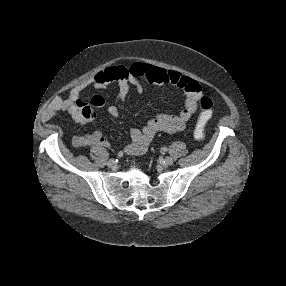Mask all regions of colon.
Returning <instances> with one entry per match:
<instances>
[{
    "label": "colon",
    "mask_w": 286,
    "mask_h": 286,
    "mask_svg": "<svg viewBox=\"0 0 286 286\" xmlns=\"http://www.w3.org/2000/svg\"><path fill=\"white\" fill-rule=\"evenodd\" d=\"M199 104L201 112L194 129V136L197 139H202L205 137V126L213 114V103L208 96L202 95L199 98Z\"/></svg>",
    "instance_id": "obj_1"
}]
</instances>
